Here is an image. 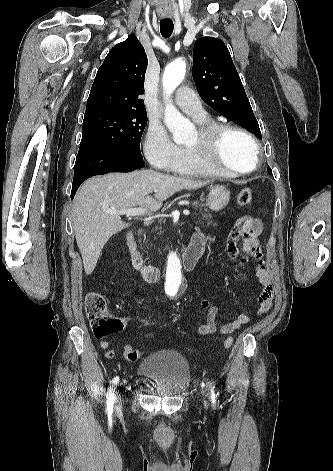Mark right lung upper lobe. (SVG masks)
Returning a JSON list of instances; mask_svg holds the SVG:
<instances>
[{"label":"right lung upper lobe","mask_w":333,"mask_h":471,"mask_svg":"<svg viewBox=\"0 0 333 471\" xmlns=\"http://www.w3.org/2000/svg\"><path fill=\"white\" fill-rule=\"evenodd\" d=\"M147 64L145 50L135 35L115 45L98 69L84 118L111 111L146 112L141 95Z\"/></svg>","instance_id":"right-lung-upper-lobe-1"}]
</instances>
